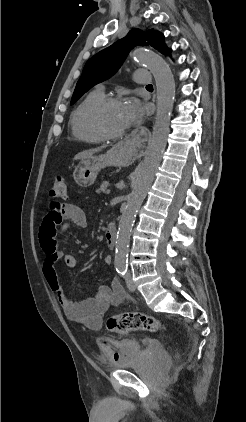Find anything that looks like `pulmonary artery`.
<instances>
[{
    "label": "pulmonary artery",
    "instance_id": "1",
    "mask_svg": "<svg viewBox=\"0 0 246 422\" xmlns=\"http://www.w3.org/2000/svg\"><path fill=\"white\" fill-rule=\"evenodd\" d=\"M134 79L140 84H149L151 82L150 72L145 69H138L134 73Z\"/></svg>",
    "mask_w": 246,
    "mask_h": 422
}]
</instances>
